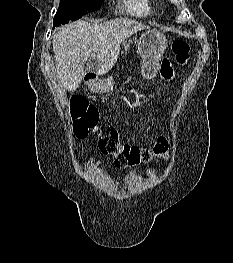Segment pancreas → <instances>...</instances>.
<instances>
[{"label": "pancreas", "instance_id": "obj_1", "mask_svg": "<svg viewBox=\"0 0 233 263\" xmlns=\"http://www.w3.org/2000/svg\"><path fill=\"white\" fill-rule=\"evenodd\" d=\"M123 47H124L125 51H127L130 47V43H123Z\"/></svg>", "mask_w": 233, "mask_h": 263}]
</instances>
